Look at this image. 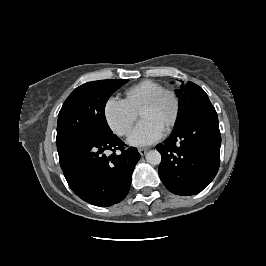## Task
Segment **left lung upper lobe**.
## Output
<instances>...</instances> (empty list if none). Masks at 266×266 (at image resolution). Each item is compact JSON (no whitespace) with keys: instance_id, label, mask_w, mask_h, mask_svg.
Listing matches in <instances>:
<instances>
[{"instance_id":"5c2ea615","label":"left lung upper lobe","mask_w":266,"mask_h":266,"mask_svg":"<svg viewBox=\"0 0 266 266\" xmlns=\"http://www.w3.org/2000/svg\"><path fill=\"white\" fill-rule=\"evenodd\" d=\"M176 94L179 98V112L174 130L199 110L212 105L205 91L193 82L183 83Z\"/></svg>"}]
</instances>
